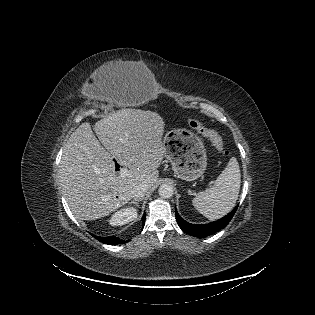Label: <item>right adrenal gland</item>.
Returning a JSON list of instances; mask_svg holds the SVG:
<instances>
[{"instance_id":"2a0ac1e0","label":"right adrenal gland","mask_w":315,"mask_h":315,"mask_svg":"<svg viewBox=\"0 0 315 315\" xmlns=\"http://www.w3.org/2000/svg\"><path fill=\"white\" fill-rule=\"evenodd\" d=\"M142 200V198H140V199H134V200H132L131 202H129V204H135V206H139V201H141Z\"/></svg>"}]
</instances>
